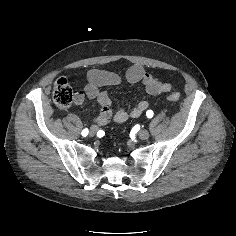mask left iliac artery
<instances>
[{
  "label": "left iliac artery",
  "instance_id": "obj_1",
  "mask_svg": "<svg viewBox=\"0 0 236 236\" xmlns=\"http://www.w3.org/2000/svg\"><path fill=\"white\" fill-rule=\"evenodd\" d=\"M146 115H147L148 118H152L153 117V111L152 110H148L146 112Z\"/></svg>",
  "mask_w": 236,
  "mask_h": 236
}]
</instances>
